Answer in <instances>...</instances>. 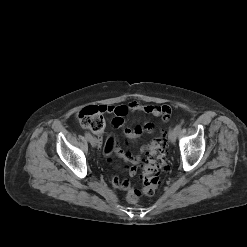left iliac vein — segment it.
I'll return each mask as SVG.
<instances>
[{
    "label": "left iliac vein",
    "instance_id": "1",
    "mask_svg": "<svg viewBox=\"0 0 247 247\" xmlns=\"http://www.w3.org/2000/svg\"><path fill=\"white\" fill-rule=\"evenodd\" d=\"M178 131L174 128L169 131V140L171 143H175L177 136H178Z\"/></svg>",
    "mask_w": 247,
    "mask_h": 247
}]
</instances>
